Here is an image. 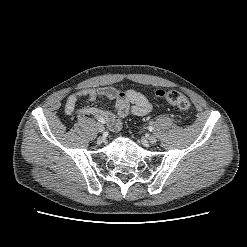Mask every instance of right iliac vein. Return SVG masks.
Wrapping results in <instances>:
<instances>
[{"mask_svg":"<svg viewBox=\"0 0 247 247\" xmlns=\"http://www.w3.org/2000/svg\"><path fill=\"white\" fill-rule=\"evenodd\" d=\"M96 128H97V131L100 133L104 131V126L101 123H97Z\"/></svg>","mask_w":247,"mask_h":247,"instance_id":"obj_1","label":"right iliac vein"}]
</instances>
